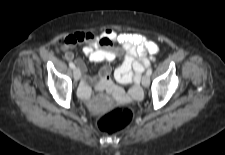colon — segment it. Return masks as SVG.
<instances>
[{
	"instance_id": "1",
	"label": "colon",
	"mask_w": 225,
	"mask_h": 155,
	"mask_svg": "<svg viewBox=\"0 0 225 155\" xmlns=\"http://www.w3.org/2000/svg\"><path fill=\"white\" fill-rule=\"evenodd\" d=\"M133 118L134 114L130 108L120 107L100 116L97 126L102 132L112 134L128 127Z\"/></svg>"
}]
</instances>
